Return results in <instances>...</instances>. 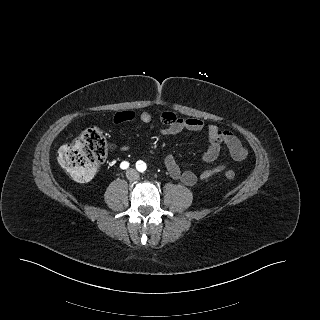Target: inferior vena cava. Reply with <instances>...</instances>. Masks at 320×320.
I'll use <instances>...</instances> for the list:
<instances>
[{"mask_svg": "<svg viewBox=\"0 0 320 320\" xmlns=\"http://www.w3.org/2000/svg\"><path fill=\"white\" fill-rule=\"evenodd\" d=\"M126 175L130 181L137 180L139 178V173L134 169L128 170Z\"/></svg>", "mask_w": 320, "mask_h": 320, "instance_id": "602c4592", "label": "inferior vena cava"}]
</instances>
